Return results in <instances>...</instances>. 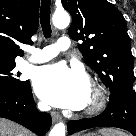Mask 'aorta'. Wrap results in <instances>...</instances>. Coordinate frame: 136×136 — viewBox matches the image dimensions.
<instances>
[{"label":"aorta","mask_w":136,"mask_h":136,"mask_svg":"<svg viewBox=\"0 0 136 136\" xmlns=\"http://www.w3.org/2000/svg\"><path fill=\"white\" fill-rule=\"evenodd\" d=\"M53 25L57 28H66L70 23V16L66 11H56L52 17ZM66 126L60 122L50 131L49 136H65Z\"/></svg>","instance_id":"1"}]
</instances>
